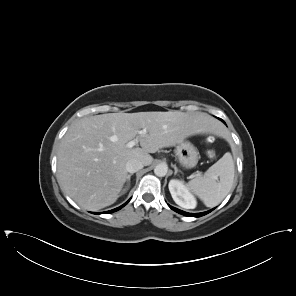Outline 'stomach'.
Wrapping results in <instances>:
<instances>
[{"instance_id":"0dacf381","label":"stomach","mask_w":296,"mask_h":296,"mask_svg":"<svg viewBox=\"0 0 296 296\" xmlns=\"http://www.w3.org/2000/svg\"><path fill=\"white\" fill-rule=\"evenodd\" d=\"M197 148L189 141H182L175 150V156L179 164L186 169L195 167L199 160Z\"/></svg>"}]
</instances>
